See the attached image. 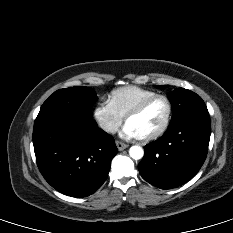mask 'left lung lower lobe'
Returning <instances> with one entry per match:
<instances>
[{
	"label": "left lung lower lobe",
	"instance_id": "obj_1",
	"mask_svg": "<svg viewBox=\"0 0 233 233\" xmlns=\"http://www.w3.org/2000/svg\"><path fill=\"white\" fill-rule=\"evenodd\" d=\"M210 133L208 115H192L170 124L161 138L145 146L138 165L141 176L161 189L188 182L206 159Z\"/></svg>",
	"mask_w": 233,
	"mask_h": 233
}]
</instances>
